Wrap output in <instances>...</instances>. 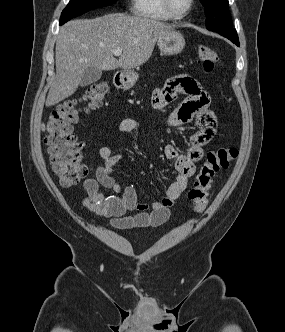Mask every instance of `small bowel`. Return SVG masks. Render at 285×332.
I'll return each instance as SVG.
<instances>
[{"label":"small bowel","mask_w":285,"mask_h":332,"mask_svg":"<svg viewBox=\"0 0 285 332\" xmlns=\"http://www.w3.org/2000/svg\"><path fill=\"white\" fill-rule=\"evenodd\" d=\"M186 94V99L170 114L167 119L171 126H181L196 121L199 129L187 140V151L179 154L177 149L168 144L164 147L167 159L175 161L176 176L167 186L162 200L146 204L138 201L136 191L127 186L124 189L112 176L114 166L122 159V153H114L108 144L103 145L99 154L103 161L96 170L95 177L85 179L83 206L89 211L111 219L116 228L157 227L164 224L171 215L175 200L187 189L190 177L195 173V165L202 160L204 147L214 138L217 130V118L209 108L210 95L201 84L189 74H180L167 80L162 89L154 91L152 105L162 109L170 105L176 94ZM139 128L133 118L123 119L118 133H131ZM110 189L113 194L106 195L100 187ZM137 212L126 216L128 212Z\"/></svg>","instance_id":"c3829d8e"}]
</instances>
